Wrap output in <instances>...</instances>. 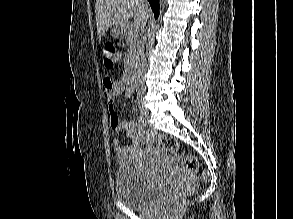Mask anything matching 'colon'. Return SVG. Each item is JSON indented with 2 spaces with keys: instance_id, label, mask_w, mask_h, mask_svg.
<instances>
[{
  "instance_id": "5ec220e1",
  "label": "colon",
  "mask_w": 293,
  "mask_h": 219,
  "mask_svg": "<svg viewBox=\"0 0 293 219\" xmlns=\"http://www.w3.org/2000/svg\"><path fill=\"white\" fill-rule=\"evenodd\" d=\"M104 64L106 68L110 69L112 68L115 64H117L121 60V53L120 51L114 47L112 44H107L104 48ZM150 139L152 143L156 144L158 147L173 153L177 160L181 163V165L189 172L196 171L198 169V161L197 159L190 154H185V153H178V142L175 138L167 135H160V134H151ZM200 180L202 182H206L209 178L208 172L203 170L200 173L199 176ZM192 190L191 186H187L185 188L180 189L178 192H176L172 197H170L167 200V208L170 211H175L177 210L183 199L190 194Z\"/></svg>"
}]
</instances>
